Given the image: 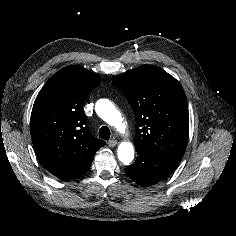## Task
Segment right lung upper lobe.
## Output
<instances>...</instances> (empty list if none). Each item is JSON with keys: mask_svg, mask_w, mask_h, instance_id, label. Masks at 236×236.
<instances>
[{"mask_svg": "<svg viewBox=\"0 0 236 236\" xmlns=\"http://www.w3.org/2000/svg\"><path fill=\"white\" fill-rule=\"evenodd\" d=\"M100 78L79 66L55 73L39 92L31 114V138L42 165L53 175L89 166L106 143L86 127L83 103Z\"/></svg>", "mask_w": 236, "mask_h": 236, "instance_id": "right-lung-upper-lobe-1", "label": "right lung upper lobe"}]
</instances>
